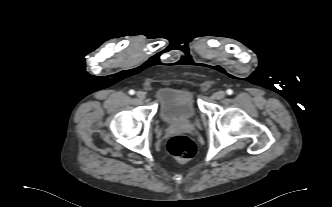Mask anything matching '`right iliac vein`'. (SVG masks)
Returning <instances> with one entry per match:
<instances>
[{"label": "right iliac vein", "instance_id": "obj_1", "mask_svg": "<svg viewBox=\"0 0 332 207\" xmlns=\"http://www.w3.org/2000/svg\"><path fill=\"white\" fill-rule=\"evenodd\" d=\"M136 96H137V98H138L139 100H144L145 97H146V94H145V92H143V91H138V92L136 93Z\"/></svg>", "mask_w": 332, "mask_h": 207}]
</instances>
